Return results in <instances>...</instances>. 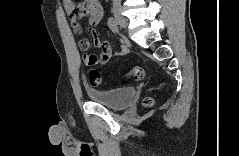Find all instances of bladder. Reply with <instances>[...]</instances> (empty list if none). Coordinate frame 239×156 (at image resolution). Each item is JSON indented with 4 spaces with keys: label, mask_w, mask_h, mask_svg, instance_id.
<instances>
[{
    "label": "bladder",
    "mask_w": 239,
    "mask_h": 156,
    "mask_svg": "<svg viewBox=\"0 0 239 156\" xmlns=\"http://www.w3.org/2000/svg\"><path fill=\"white\" fill-rule=\"evenodd\" d=\"M86 93L90 100L111 109H123L127 107L135 96L133 87H119L107 90L87 88Z\"/></svg>",
    "instance_id": "bladder-1"
}]
</instances>
